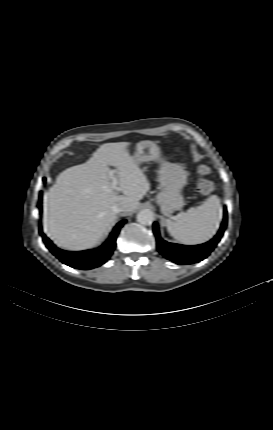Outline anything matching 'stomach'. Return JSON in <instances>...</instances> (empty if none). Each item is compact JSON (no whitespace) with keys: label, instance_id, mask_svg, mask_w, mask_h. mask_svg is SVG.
I'll list each match as a JSON object with an SVG mask.
<instances>
[{"label":"stomach","instance_id":"stomach-1","mask_svg":"<svg viewBox=\"0 0 273 430\" xmlns=\"http://www.w3.org/2000/svg\"><path fill=\"white\" fill-rule=\"evenodd\" d=\"M133 160L136 164L149 161L159 162L158 180L161 191L156 195V203L164 215L180 210L184 205L182 189L187 184V171L177 163L163 160L159 146L149 140L137 144Z\"/></svg>","mask_w":273,"mask_h":430}]
</instances>
